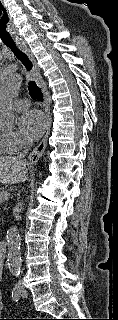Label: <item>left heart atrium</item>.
Instances as JSON below:
<instances>
[{"mask_svg": "<svg viewBox=\"0 0 118 320\" xmlns=\"http://www.w3.org/2000/svg\"><path fill=\"white\" fill-rule=\"evenodd\" d=\"M19 127L28 140L38 139L46 130V117L39 110H30L21 117Z\"/></svg>", "mask_w": 118, "mask_h": 320, "instance_id": "obj_1", "label": "left heart atrium"}]
</instances>
